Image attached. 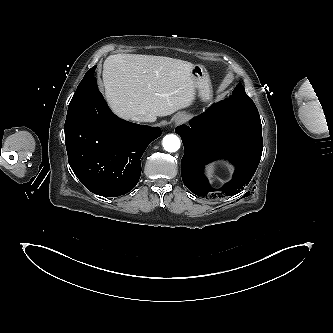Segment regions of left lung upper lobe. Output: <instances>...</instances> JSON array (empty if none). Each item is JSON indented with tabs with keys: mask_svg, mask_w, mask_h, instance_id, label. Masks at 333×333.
Wrapping results in <instances>:
<instances>
[{
	"mask_svg": "<svg viewBox=\"0 0 333 333\" xmlns=\"http://www.w3.org/2000/svg\"><path fill=\"white\" fill-rule=\"evenodd\" d=\"M232 96L234 99L240 102L253 103L251 98L245 93V89L241 83H239L233 91ZM254 104V103H253Z\"/></svg>",
	"mask_w": 333,
	"mask_h": 333,
	"instance_id": "obj_1",
	"label": "left lung upper lobe"
}]
</instances>
